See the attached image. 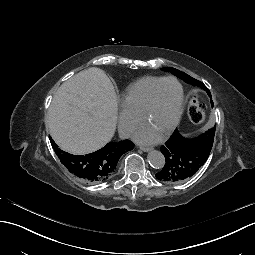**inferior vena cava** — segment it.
Wrapping results in <instances>:
<instances>
[{
  "label": "inferior vena cava",
  "mask_w": 255,
  "mask_h": 255,
  "mask_svg": "<svg viewBox=\"0 0 255 255\" xmlns=\"http://www.w3.org/2000/svg\"><path fill=\"white\" fill-rule=\"evenodd\" d=\"M134 132L135 128L133 126H120L118 129L119 137L121 139H128Z\"/></svg>",
  "instance_id": "602c4592"
}]
</instances>
